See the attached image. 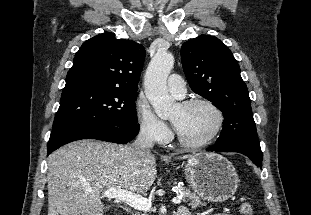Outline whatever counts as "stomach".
<instances>
[{
  "instance_id": "0dacf381",
  "label": "stomach",
  "mask_w": 311,
  "mask_h": 215,
  "mask_svg": "<svg viewBox=\"0 0 311 215\" xmlns=\"http://www.w3.org/2000/svg\"><path fill=\"white\" fill-rule=\"evenodd\" d=\"M184 178L193 191L209 202H224L238 187L239 178L234 166L216 153H198L184 166Z\"/></svg>"
}]
</instances>
